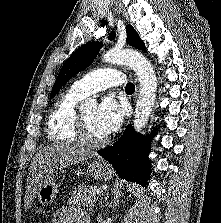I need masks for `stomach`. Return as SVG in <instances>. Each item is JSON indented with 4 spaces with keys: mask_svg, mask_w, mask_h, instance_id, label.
Listing matches in <instances>:
<instances>
[{
    "mask_svg": "<svg viewBox=\"0 0 221 223\" xmlns=\"http://www.w3.org/2000/svg\"><path fill=\"white\" fill-rule=\"evenodd\" d=\"M88 170L95 179L109 180L112 177L110 169L98 161L88 164ZM37 194L38 200L42 205H49L55 200L58 194V185L53 175L45 178L39 186Z\"/></svg>",
    "mask_w": 221,
    "mask_h": 223,
    "instance_id": "1",
    "label": "stomach"
}]
</instances>
